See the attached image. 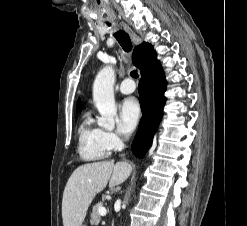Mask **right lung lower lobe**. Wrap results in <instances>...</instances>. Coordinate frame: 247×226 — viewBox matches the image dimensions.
I'll list each match as a JSON object with an SVG mask.
<instances>
[{
  "mask_svg": "<svg viewBox=\"0 0 247 226\" xmlns=\"http://www.w3.org/2000/svg\"><path fill=\"white\" fill-rule=\"evenodd\" d=\"M141 75L138 90L143 115L132 143V152L138 158L144 157L151 146L166 101L164 97L165 75L156 55H153V47L151 48V57L141 71Z\"/></svg>",
  "mask_w": 247,
  "mask_h": 226,
  "instance_id": "obj_1",
  "label": "right lung lower lobe"
}]
</instances>
